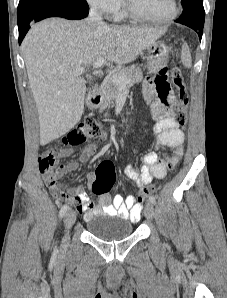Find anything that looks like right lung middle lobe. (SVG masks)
Wrapping results in <instances>:
<instances>
[{"label":"right lung middle lobe","mask_w":227,"mask_h":298,"mask_svg":"<svg viewBox=\"0 0 227 298\" xmlns=\"http://www.w3.org/2000/svg\"><path fill=\"white\" fill-rule=\"evenodd\" d=\"M46 3H63L73 7L89 9L86 0H20L17 17L39 5Z\"/></svg>","instance_id":"obj_1"}]
</instances>
